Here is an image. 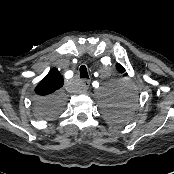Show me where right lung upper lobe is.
<instances>
[{
    "label": "right lung upper lobe",
    "mask_w": 174,
    "mask_h": 174,
    "mask_svg": "<svg viewBox=\"0 0 174 174\" xmlns=\"http://www.w3.org/2000/svg\"><path fill=\"white\" fill-rule=\"evenodd\" d=\"M62 86L63 77L57 69H52L37 85L35 92L41 96H47L57 92Z\"/></svg>",
    "instance_id": "1"
}]
</instances>
